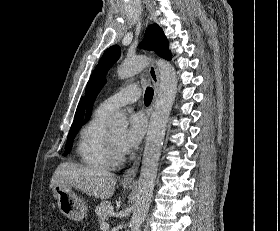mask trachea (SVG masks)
I'll return each instance as SVG.
<instances>
[{
	"instance_id": "obj_1",
	"label": "trachea",
	"mask_w": 280,
	"mask_h": 231,
	"mask_svg": "<svg viewBox=\"0 0 280 231\" xmlns=\"http://www.w3.org/2000/svg\"><path fill=\"white\" fill-rule=\"evenodd\" d=\"M153 89L152 88H147L146 91H145V96H144V102L145 104L148 106L151 101H152V98H153Z\"/></svg>"
}]
</instances>
